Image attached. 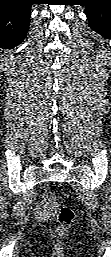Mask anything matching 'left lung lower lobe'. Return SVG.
Returning a JSON list of instances; mask_svg holds the SVG:
<instances>
[{"label": "left lung lower lobe", "mask_w": 111, "mask_h": 257, "mask_svg": "<svg viewBox=\"0 0 111 257\" xmlns=\"http://www.w3.org/2000/svg\"><path fill=\"white\" fill-rule=\"evenodd\" d=\"M86 11L91 28L111 39V0H89Z\"/></svg>", "instance_id": "left-lung-lower-lobe-1"}]
</instances>
